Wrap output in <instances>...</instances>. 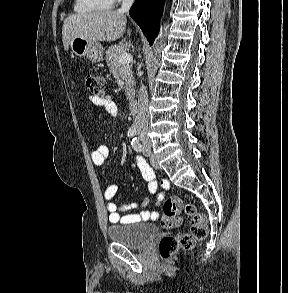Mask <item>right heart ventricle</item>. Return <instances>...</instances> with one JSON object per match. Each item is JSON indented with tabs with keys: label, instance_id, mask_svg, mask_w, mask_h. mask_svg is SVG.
<instances>
[{
	"label": "right heart ventricle",
	"instance_id": "obj_1",
	"mask_svg": "<svg viewBox=\"0 0 288 293\" xmlns=\"http://www.w3.org/2000/svg\"><path fill=\"white\" fill-rule=\"evenodd\" d=\"M113 2V0H75L74 10L78 13L108 10L112 7Z\"/></svg>",
	"mask_w": 288,
	"mask_h": 293
}]
</instances>
